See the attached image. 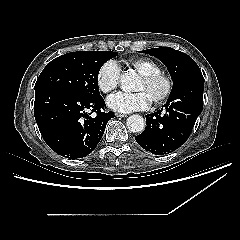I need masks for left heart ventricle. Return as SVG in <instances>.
<instances>
[{
  "label": "left heart ventricle",
  "mask_w": 240,
  "mask_h": 240,
  "mask_svg": "<svg viewBox=\"0 0 240 240\" xmlns=\"http://www.w3.org/2000/svg\"><path fill=\"white\" fill-rule=\"evenodd\" d=\"M163 89V84L161 82H155L153 84H146L140 78L137 81L135 90L143 91L150 101H152L156 96H158Z\"/></svg>",
  "instance_id": "obj_1"
}]
</instances>
